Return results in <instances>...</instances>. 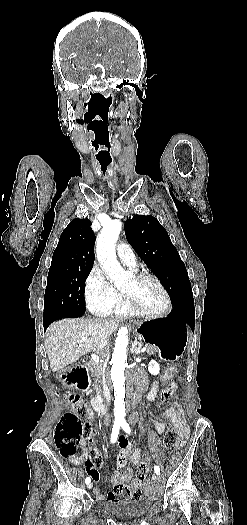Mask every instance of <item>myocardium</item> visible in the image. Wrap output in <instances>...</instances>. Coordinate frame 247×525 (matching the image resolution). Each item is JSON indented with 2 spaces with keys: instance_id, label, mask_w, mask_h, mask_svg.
<instances>
[{
  "instance_id": "obj_1",
  "label": "myocardium",
  "mask_w": 247,
  "mask_h": 525,
  "mask_svg": "<svg viewBox=\"0 0 247 525\" xmlns=\"http://www.w3.org/2000/svg\"><path fill=\"white\" fill-rule=\"evenodd\" d=\"M128 266H131V265H128ZM143 278H149L157 284V286L161 289V291L163 292L165 296V304L162 308L158 310H150L137 298L139 312L143 315L151 316V317H160L168 313L172 307V299H171L170 293L168 292L167 288L164 286L162 281L155 274L151 272H141L139 275L135 276L136 280H141Z\"/></svg>"
}]
</instances>
